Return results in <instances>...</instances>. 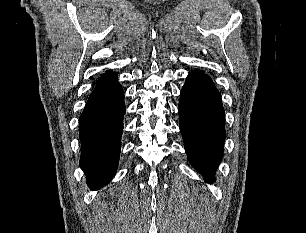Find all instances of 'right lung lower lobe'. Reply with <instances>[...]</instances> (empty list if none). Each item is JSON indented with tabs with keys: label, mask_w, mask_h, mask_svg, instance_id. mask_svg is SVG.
<instances>
[{
	"label": "right lung lower lobe",
	"mask_w": 306,
	"mask_h": 233,
	"mask_svg": "<svg viewBox=\"0 0 306 233\" xmlns=\"http://www.w3.org/2000/svg\"><path fill=\"white\" fill-rule=\"evenodd\" d=\"M125 111L117 74L111 73L97 81L79 119V165L92 189L103 187L115 175Z\"/></svg>",
	"instance_id": "obj_1"
}]
</instances>
